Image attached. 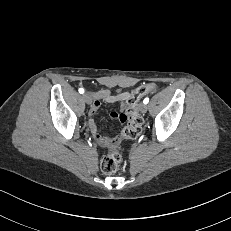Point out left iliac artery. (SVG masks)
I'll use <instances>...</instances> for the list:
<instances>
[{"label": "left iliac artery", "mask_w": 231, "mask_h": 231, "mask_svg": "<svg viewBox=\"0 0 231 231\" xmlns=\"http://www.w3.org/2000/svg\"><path fill=\"white\" fill-rule=\"evenodd\" d=\"M143 102H144V104H147L149 102V98L148 97L145 98Z\"/></svg>", "instance_id": "obj_1"}]
</instances>
